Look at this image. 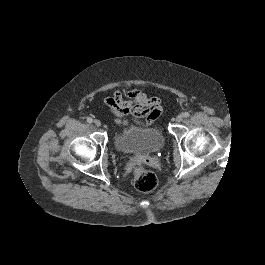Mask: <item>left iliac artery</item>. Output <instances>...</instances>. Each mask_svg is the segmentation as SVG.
Segmentation results:
<instances>
[{"mask_svg":"<svg viewBox=\"0 0 265 265\" xmlns=\"http://www.w3.org/2000/svg\"><path fill=\"white\" fill-rule=\"evenodd\" d=\"M183 116H184V117H189L190 114H189V112H184Z\"/></svg>","mask_w":265,"mask_h":265,"instance_id":"1","label":"left iliac artery"}]
</instances>
